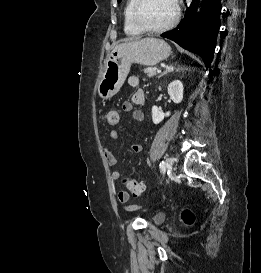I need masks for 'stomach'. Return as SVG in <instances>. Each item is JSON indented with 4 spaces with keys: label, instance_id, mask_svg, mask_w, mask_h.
I'll return each mask as SVG.
<instances>
[{
    "label": "stomach",
    "instance_id": "1",
    "mask_svg": "<svg viewBox=\"0 0 261 273\" xmlns=\"http://www.w3.org/2000/svg\"><path fill=\"white\" fill-rule=\"evenodd\" d=\"M171 47L157 38L138 39L116 46L105 61V70L97 91L103 100L113 97L122 87L133 63L154 66L166 59Z\"/></svg>",
    "mask_w": 261,
    "mask_h": 273
}]
</instances>
